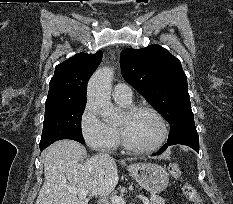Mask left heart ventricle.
<instances>
[{"label":"left heart ventricle","mask_w":233,"mask_h":204,"mask_svg":"<svg viewBox=\"0 0 233 204\" xmlns=\"http://www.w3.org/2000/svg\"><path fill=\"white\" fill-rule=\"evenodd\" d=\"M117 125L123 126L130 141L139 147L152 146L161 136L158 120L148 111H140L129 119L122 114Z\"/></svg>","instance_id":"left-heart-ventricle-1"}]
</instances>
